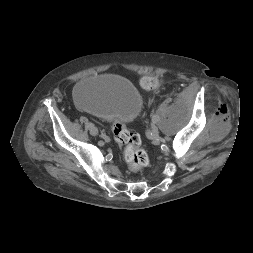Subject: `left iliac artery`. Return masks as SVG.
<instances>
[{"instance_id": "obj_1", "label": "left iliac artery", "mask_w": 253, "mask_h": 253, "mask_svg": "<svg viewBox=\"0 0 253 253\" xmlns=\"http://www.w3.org/2000/svg\"><path fill=\"white\" fill-rule=\"evenodd\" d=\"M159 121V116L152 113V122L157 123Z\"/></svg>"}]
</instances>
